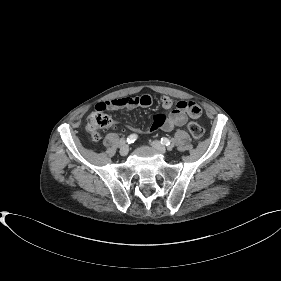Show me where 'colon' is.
Segmentation results:
<instances>
[{"instance_id":"5ec220e1","label":"colon","mask_w":281,"mask_h":281,"mask_svg":"<svg viewBox=\"0 0 281 281\" xmlns=\"http://www.w3.org/2000/svg\"><path fill=\"white\" fill-rule=\"evenodd\" d=\"M191 110L197 113L199 110L191 108ZM113 124L112 118L104 112V110L93 111L88 118L87 130L90 134V138L93 142H98L101 138V132L110 128ZM188 130L191 136L195 140H199L203 137L204 130L200 124L195 121L188 123Z\"/></svg>"}]
</instances>
